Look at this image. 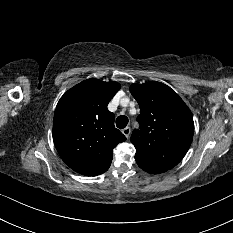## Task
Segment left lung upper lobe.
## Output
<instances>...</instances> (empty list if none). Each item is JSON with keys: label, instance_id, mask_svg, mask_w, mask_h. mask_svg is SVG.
Wrapping results in <instances>:
<instances>
[{"label": "left lung upper lobe", "instance_id": "obj_1", "mask_svg": "<svg viewBox=\"0 0 233 233\" xmlns=\"http://www.w3.org/2000/svg\"><path fill=\"white\" fill-rule=\"evenodd\" d=\"M130 92L140 107V131L131 136L135 156L172 169L192 142L194 122L190 109L169 86L157 81L132 84Z\"/></svg>", "mask_w": 233, "mask_h": 233}]
</instances>
